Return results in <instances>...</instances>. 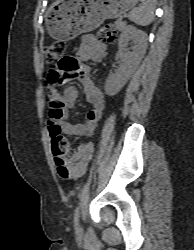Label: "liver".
<instances>
[{
	"instance_id": "obj_1",
	"label": "liver",
	"mask_w": 194,
	"mask_h": 250,
	"mask_svg": "<svg viewBox=\"0 0 194 250\" xmlns=\"http://www.w3.org/2000/svg\"><path fill=\"white\" fill-rule=\"evenodd\" d=\"M61 0H57L56 3L60 2Z\"/></svg>"
}]
</instances>
